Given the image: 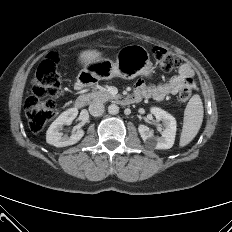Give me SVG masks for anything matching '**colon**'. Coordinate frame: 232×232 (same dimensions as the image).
<instances>
[{
  "label": "colon",
  "mask_w": 232,
  "mask_h": 232,
  "mask_svg": "<svg viewBox=\"0 0 232 232\" xmlns=\"http://www.w3.org/2000/svg\"><path fill=\"white\" fill-rule=\"evenodd\" d=\"M153 57L157 66L163 71H172L180 64V59L162 47L153 49ZM58 58L50 53L39 65L34 79L32 93L25 101V112L29 127L39 132L55 115L54 98L59 94L61 77L57 71ZM195 83L191 78L185 80L179 90L178 99L186 103L192 96Z\"/></svg>",
  "instance_id": "obj_1"
}]
</instances>
